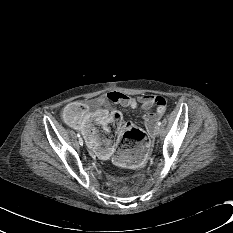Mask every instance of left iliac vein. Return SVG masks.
I'll use <instances>...</instances> for the list:
<instances>
[{"label":"left iliac vein","mask_w":233,"mask_h":233,"mask_svg":"<svg viewBox=\"0 0 233 233\" xmlns=\"http://www.w3.org/2000/svg\"><path fill=\"white\" fill-rule=\"evenodd\" d=\"M160 131H161V128H160L159 125H157V126L154 128V135H155V136L159 135Z\"/></svg>","instance_id":"left-iliac-vein-1"}]
</instances>
